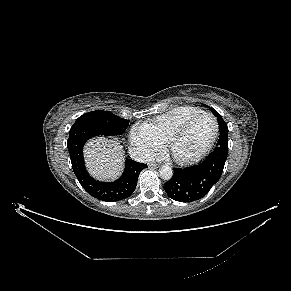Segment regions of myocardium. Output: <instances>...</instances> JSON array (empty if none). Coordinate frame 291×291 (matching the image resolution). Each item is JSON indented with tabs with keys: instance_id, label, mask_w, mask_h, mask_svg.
Returning a JSON list of instances; mask_svg holds the SVG:
<instances>
[{
	"instance_id": "myocardium-1",
	"label": "myocardium",
	"mask_w": 291,
	"mask_h": 291,
	"mask_svg": "<svg viewBox=\"0 0 291 291\" xmlns=\"http://www.w3.org/2000/svg\"><path fill=\"white\" fill-rule=\"evenodd\" d=\"M201 117H210L214 122V132H213L211 140L206 145V147L202 151H200L198 154H196L192 157H188V158L178 157L173 152L174 144L185 134L187 129L196 120H198ZM218 133H219V124H218L216 117L211 113L202 112V113H199V114L189 118L180 127H178L164 142V149L176 163H178L180 165H190V164H193L195 162H198L199 160L204 158L209 153V151L212 149V147L214 146V144L217 140Z\"/></svg>"
}]
</instances>
